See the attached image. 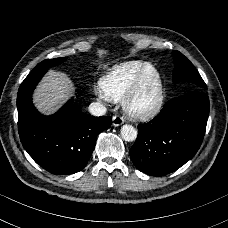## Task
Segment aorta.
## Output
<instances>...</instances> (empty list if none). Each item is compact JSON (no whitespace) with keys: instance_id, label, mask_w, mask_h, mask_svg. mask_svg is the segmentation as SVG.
Masks as SVG:
<instances>
[{"instance_id":"1","label":"aorta","mask_w":228,"mask_h":228,"mask_svg":"<svg viewBox=\"0 0 228 228\" xmlns=\"http://www.w3.org/2000/svg\"><path fill=\"white\" fill-rule=\"evenodd\" d=\"M137 130L131 125H124L121 129V136L126 142H133L137 139Z\"/></svg>"}]
</instances>
